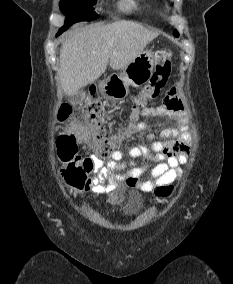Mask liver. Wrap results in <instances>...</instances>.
<instances>
[{
	"label": "liver",
	"mask_w": 233,
	"mask_h": 284,
	"mask_svg": "<svg viewBox=\"0 0 233 284\" xmlns=\"http://www.w3.org/2000/svg\"><path fill=\"white\" fill-rule=\"evenodd\" d=\"M158 35L131 21L91 25L73 33L60 49L59 79L65 94L73 96L94 83L108 64L123 69Z\"/></svg>",
	"instance_id": "1"
}]
</instances>
